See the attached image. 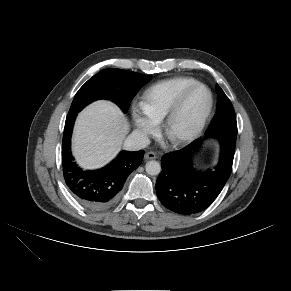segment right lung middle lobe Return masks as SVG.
I'll list each match as a JSON object with an SVG mask.
<instances>
[{"mask_svg":"<svg viewBox=\"0 0 291 291\" xmlns=\"http://www.w3.org/2000/svg\"><path fill=\"white\" fill-rule=\"evenodd\" d=\"M151 76L122 69H105L89 79L76 93L68 114L78 113L97 99H110L127 112L133 97Z\"/></svg>","mask_w":291,"mask_h":291,"instance_id":"obj_1","label":"right lung middle lobe"}]
</instances>
